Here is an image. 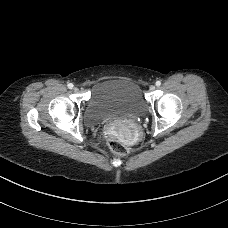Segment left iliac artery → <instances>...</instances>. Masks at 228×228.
<instances>
[{
	"label": "left iliac artery",
	"mask_w": 228,
	"mask_h": 228,
	"mask_svg": "<svg viewBox=\"0 0 228 228\" xmlns=\"http://www.w3.org/2000/svg\"><path fill=\"white\" fill-rule=\"evenodd\" d=\"M161 85V82L160 81H157L156 82V86H160Z\"/></svg>",
	"instance_id": "left-iliac-artery-1"
}]
</instances>
